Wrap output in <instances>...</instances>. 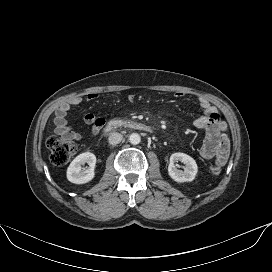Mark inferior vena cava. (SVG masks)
Here are the masks:
<instances>
[{"mask_svg": "<svg viewBox=\"0 0 272 272\" xmlns=\"http://www.w3.org/2000/svg\"><path fill=\"white\" fill-rule=\"evenodd\" d=\"M123 136L118 132H113L110 134L108 141L111 145H116L121 142Z\"/></svg>", "mask_w": 272, "mask_h": 272, "instance_id": "obj_1", "label": "inferior vena cava"}]
</instances>
